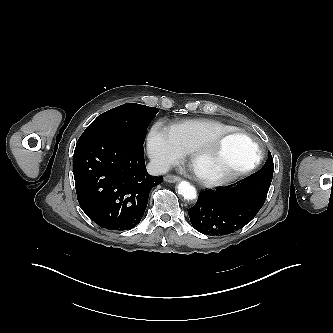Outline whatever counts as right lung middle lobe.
I'll use <instances>...</instances> for the list:
<instances>
[{"label":"right lung middle lobe","mask_w":333,"mask_h":333,"mask_svg":"<svg viewBox=\"0 0 333 333\" xmlns=\"http://www.w3.org/2000/svg\"><path fill=\"white\" fill-rule=\"evenodd\" d=\"M158 109L127 103L98 116L84 131L86 135H114L144 143L146 130Z\"/></svg>","instance_id":"right-lung-middle-lobe-1"}]
</instances>
